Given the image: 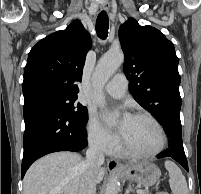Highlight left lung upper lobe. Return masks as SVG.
Listing matches in <instances>:
<instances>
[{
  "mask_svg": "<svg viewBox=\"0 0 201 194\" xmlns=\"http://www.w3.org/2000/svg\"><path fill=\"white\" fill-rule=\"evenodd\" d=\"M119 39L135 100L160 123L167 115L180 117L181 78L173 43L158 29L140 26L133 18L121 25Z\"/></svg>",
  "mask_w": 201,
  "mask_h": 194,
  "instance_id": "1",
  "label": "left lung upper lobe"
}]
</instances>
